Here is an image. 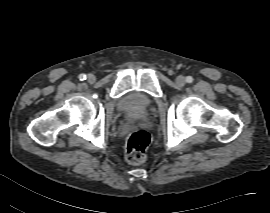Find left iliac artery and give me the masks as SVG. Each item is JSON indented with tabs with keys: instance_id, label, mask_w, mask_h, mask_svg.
Segmentation results:
<instances>
[{
	"instance_id": "left-iliac-artery-1",
	"label": "left iliac artery",
	"mask_w": 270,
	"mask_h": 213,
	"mask_svg": "<svg viewBox=\"0 0 270 213\" xmlns=\"http://www.w3.org/2000/svg\"><path fill=\"white\" fill-rule=\"evenodd\" d=\"M193 81V78L191 76H188L186 78V82L191 83Z\"/></svg>"
}]
</instances>
